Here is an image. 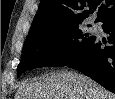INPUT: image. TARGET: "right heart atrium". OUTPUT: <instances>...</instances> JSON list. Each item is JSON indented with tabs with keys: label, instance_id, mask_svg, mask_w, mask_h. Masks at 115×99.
Here are the masks:
<instances>
[{
	"label": "right heart atrium",
	"instance_id": "d8ad5b80",
	"mask_svg": "<svg viewBox=\"0 0 115 99\" xmlns=\"http://www.w3.org/2000/svg\"><path fill=\"white\" fill-rule=\"evenodd\" d=\"M64 48H65V44H64L63 42H60V43H58V44L56 45L55 50H56L57 52H61V51L64 50Z\"/></svg>",
	"mask_w": 115,
	"mask_h": 99
}]
</instances>
